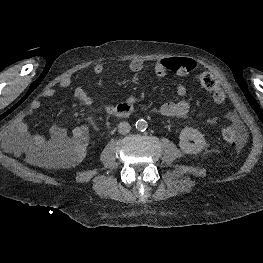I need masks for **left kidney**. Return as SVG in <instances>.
Wrapping results in <instances>:
<instances>
[{"instance_id":"1","label":"left kidney","mask_w":263,"mask_h":263,"mask_svg":"<svg viewBox=\"0 0 263 263\" xmlns=\"http://www.w3.org/2000/svg\"><path fill=\"white\" fill-rule=\"evenodd\" d=\"M189 140H193L194 143H189ZM207 145L204 135L198 129L184 128L180 133L179 147L185 154H198Z\"/></svg>"}]
</instances>
